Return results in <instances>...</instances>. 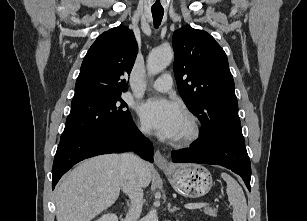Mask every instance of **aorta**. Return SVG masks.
Instances as JSON below:
<instances>
[{
	"label": "aorta",
	"instance_id": "aorta-1",
	"mask_svg": "<svg viewBox=\"0 0 307 221\" xmlns=\"http://www.w3.org/2000/svg\"><path fill=\"white\" fill-rule=\"evenodd\" d=\"M173 51L170 47H161L150 52L147 58V71L149 75H156L163 71L172 61ZM145 221H158L155 208L151 209L145 217Z\"/></svg>",
	"mask_w": 307,
	"mask_h": 221
}]
</instances>
